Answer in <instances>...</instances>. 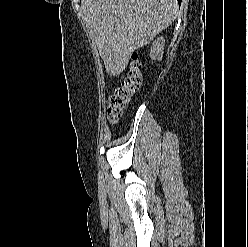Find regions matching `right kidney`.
I'll return each mask as SVG.
<instances>
[{"instance_id": "obj_1", "label": "right kidney", "mask_w": 248, "mask_h": 247, "mask_svg": "<svg viewBox=\"0 0 248 247\" xmlns=\"http://www.w3.org/2000/svg\"><path fill=\"white\" fill-rule=\"evenodd\" d=\"M165 40L163 37H159L152 44L150 49V57L152 60H161L163 56Z\"/></svg>"}]
</instances>
